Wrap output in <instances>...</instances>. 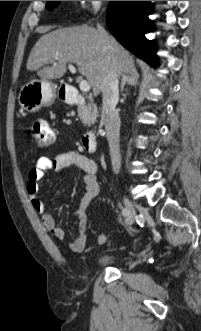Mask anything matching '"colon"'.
<instances>
[{
  "label": "colon",
  "mask_w": 201,
  "mask_h": 331,
  "mask_svg": "<svg viewBox=\"0 0 201 331\" xmlns=\"http://www.w3.org/2000/svg\"><path fill=\"white\" fill-rule=\"evenodd\" d=\"M31 136L38 147H48L54 142V132L45 120H37L32 124Z\"/></svg>",
  "instance_id": "1"
}]
</instances>
